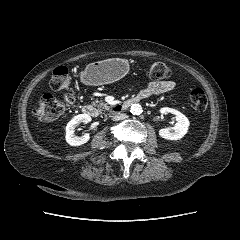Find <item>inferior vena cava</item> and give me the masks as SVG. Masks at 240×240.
I'll return each mask as SVG.
<instances>
[{
    "label": "inferior vena cava",
    "instance_id": "obj_1",
    "mask_svg": "<svg viewBox=\"0 0 240 240\" xmlns=\"http://www.w3.org/2000/svg\"><path fill=\"white\" fill-rule=\"evenodd\" d=\"M110 117L114 121H119V120L125 119L126 118V114H124V113H113V114H111Z\"/></svg>",
    "mask_w": 240,
    "mask_h": 240
}]
</instances>
